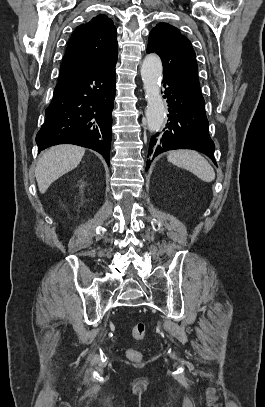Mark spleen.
Here are the masks:
<instances>
[{
	"instance_id": "obj_1",
	"label": "spleen",
	"mask_w": 265,
	"mask_h": 407,
	"mask_svg": "<svg viewBox=\"0 0 265 407\" xmlns=\"http://www.w3.org/2000/svg\"><path fill=\"white\" fill-rule=\"evenodd\" d=\"M167 159L172 164L192 172L205 182H212L215 179V172L212 166L196 151H172L168 155Z\"/></svg>"
}]
</instances>
